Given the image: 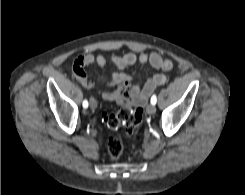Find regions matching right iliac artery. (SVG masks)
I'll use <instances>...</instances> for the list:
<instances>
[{"instance_id": "1", "label": "right iliac artery", "mask_w": 245, "mask_h": 195, "mask_svg": "<svg viewBox=\"0 0 245 195\" xmlns=\"http://www.w3.org/2000/svg\"><path fill=\"white\" fill-rule=\"evenodd\" d=\"M83 107H84V108H87V107H88V101H87V100H84V101H83Z\"/></svg>"}]
</instances>
